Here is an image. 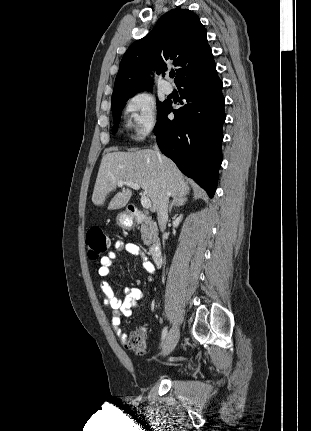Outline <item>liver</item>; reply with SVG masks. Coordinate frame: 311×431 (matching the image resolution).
Wrapping results in <instances>:
<instances>
[{
  "label": "liver",
  "instance_id": "liver-1",
  "mask_svg": "<svg viewBox=\"0 0 311 431\" xmlns=\"http://www.w3.org/2000/svg\"><path fill=\"white\" fill-rule=\"evenodd\" d=\"M115 152L105 154L99 166L92 202L94 206H104L108 196L115 192L118 180L134 182L144 190L152 202V212H156L161 192V178L164 172L167 192L170 196H187L189 186L185 176L178 170L176 164L162 156L160 162L154 150H139V152ZM132 196V190L122 188L108 204V210H121L127 206Z\"/></svg>",
  "mask_w": 311,
  "mask_h": 431
}]
</instances>
